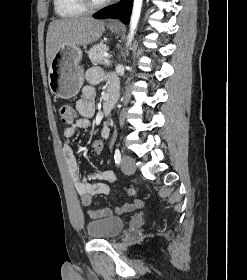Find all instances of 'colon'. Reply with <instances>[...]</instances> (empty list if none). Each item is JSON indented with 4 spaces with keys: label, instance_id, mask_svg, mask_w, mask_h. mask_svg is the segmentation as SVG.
<instances>
[{
    "label": "colon",
    "instance_id": "1",
    "mask_svg": "<svg viewBox=\"0 0 247 280\" xmlns=\"http://www.w3.org/2000/svg\"><path fill=\"white\" fill-rule=\"evenodd\" d=\"M59 115L60 119L64 124L71 125L76 121L77 113L75 109L68 105V104H62L59 107ZM105 145L104 139L102 136H95L92 143L90 144L88 151L89 154L92 156H98L101 154L102 149ZM129 194L134 196L136 194L135 189L131 188L129 189Z\"/></svg>",
    "mask_w": 247,
    "mask_h": 280
}]
</instances>
